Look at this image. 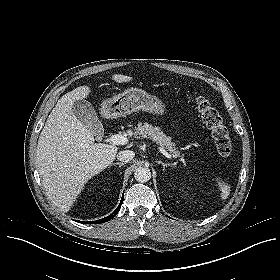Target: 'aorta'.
Here are the masks:
<instances>
[{"label":"aorta","instance_id":"1","mask_svg":"<svg viewBox=\"0 0 280 280\" xmlns=\"http://www.w3.org/2000/svg\"><path fill=\"white\" fill-rule=\"evenodd\" d=\"M134 177L138 182L144 183L150 180L151 172L147 167H138L135 170Z\"/></svg>","mask_w":280,"mask_h":280}]
</instances>
